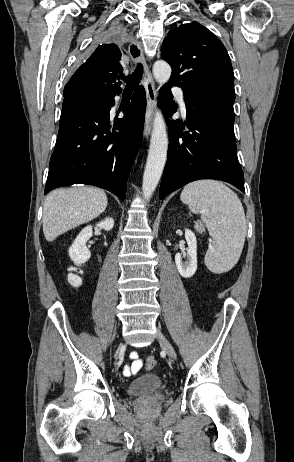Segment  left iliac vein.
Masks as SVG:
<instances>
[{"label": "left iliac vein", "mask_w": 294, "mask_h": 462, "mask_svg": "<svg viewBox=\"0 0 294 462\" xmlns=\"http://www.w3.org/2000/svg\"><path fill=\"white\" fill-rule=\"evenodd\" d=\"M156 337H157V340L158 342L160 343V345L163 347V349L165 350V352L168 354V356L171 358V359H176L177 358V355H176V352L173 348V346L171 345V343L168 341V339L163 335V333L160 331V329L158 328L157 329V334H156Z\"/></svg>", "instance_id": "1"}]
</instances>
